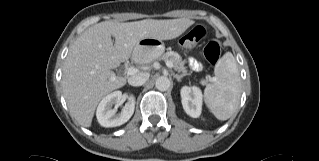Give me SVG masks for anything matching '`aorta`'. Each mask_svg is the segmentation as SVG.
<instances>
[{
  "label": "aorta",
  "instance_id": "1",
  "mask_svg": "<svg viewBox=\"0 0 319 161\" xmlns=\"http://www.w3.org/2000/svg\"><path fill=\"white\" fill-rule=\"evenodd\" d=\"M170 85L171 82L166 76L158 77L155 83V86L159 91H167L170 88Z\"/></svg>",
  "mask_w": 319,
  "mask_h": 161
}]
</instances>
